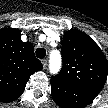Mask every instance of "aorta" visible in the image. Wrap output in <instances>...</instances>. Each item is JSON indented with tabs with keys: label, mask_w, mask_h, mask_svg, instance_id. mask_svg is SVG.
I'll use <instances>...</instances> for the list:
<instances>
[{
	"label": "aorta",
	"mask_w": 108,
	"mask_h": 108,
	"mask_svg": "<svg viewBox=\"0 0 108 108\" xmlns=\"http://www.w3.org/2000/svg\"><path fill=\"white\" fill-rule=\"evenodd\" d=\"M62 65L61 55L57 50H53L50 54L49 69L51 74H56L60 71Z\"/></svg>",
	"instance_id": "1"
}]
</instances>
